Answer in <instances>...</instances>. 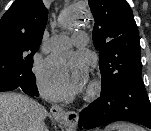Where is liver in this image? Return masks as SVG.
<instances>
[{
	"label": "liver",
	"instance_id": "liver-1",
	"mask_svg": "<svg viewBox=\"0 0 151 131\" xmlns=\"http://www.w3.org/2000/svg\"><path fill=\"white\" fill-rule=\"evenodd\" d=\"M47 110L19 93H0V131H48Z\"/></svg>",
	"mask_w": 151,
	"mask_h": 131
}]
</instances>
